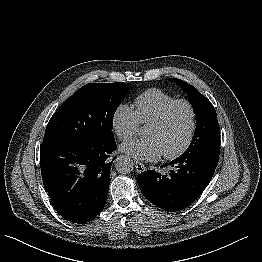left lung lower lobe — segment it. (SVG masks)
Returning <instances> with one entry per match:
<instances>
[{
	"instance_id": "0a47b994",
	"label": "left lung lower lobe",
	"mask_w": 262,
	"mask_h": 262,
	"mask_svg": "<svg viewBox=\"0 0 262 262\" xmlns=\"http://www.w3.org/2000/svg\"><path fill=\"white\" fill-rule=\"evenodd\" d=\"M219 161V154L201 153L179 156L162 165L167 174L147 170L137 176L144 197L157 207L175 212L194 202L209 184Z\"/></svg>"
}]
</instances>
